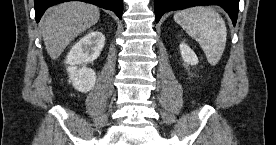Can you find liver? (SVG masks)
<instances>
[{
	"label": "liver",
	"instance_id": "1",
	"mask_svg": "<svg viewBox=\"0 0 276 145\" xmlns=\"http://www.w3.org/2000/svg\"><path fill=\"white\" fill-rule=\"evenodd\" d=\"M99 17L97 6L81 1L50 7L41 21L43 40L50 58L56 60L78 35L95 25Z\"/></svg>",
	"mask_w": 276,
	"mask_h": 145
}]
</instances>
